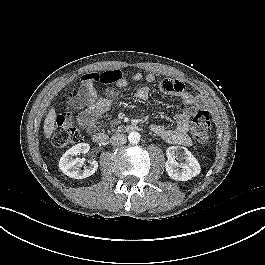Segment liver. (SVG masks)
Returning <instances> with one entry per match:
<instances>
[{
	"label": "liver",
	"instance_id": "6515ba94",
	"mask_svg": "<svg viewBox=\"0 0 265 265\" xmlns=\"http://www.w3.org/2000/svg\"><path fill=\"white\" fill-rule=\"evenodd\" d=\"M56 121V112L54 108H51L44 121V134L47 139H49L53 133Z\"/></svg>",
	"mask_w": 265,
	"mask_h": 265
}]
</instances>
